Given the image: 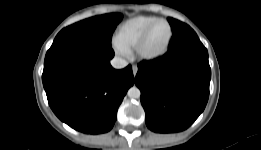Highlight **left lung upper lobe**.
Listing matches in <instances>:
<instances>
[{"label":"left lung upper lobe","mask_w":261,"mask_h":150,"mask_svg":"<svg viewBox=\"0 0 261 150\" xmlns=\"http://www.w3.org/2000/svg\"><path fill=\"white\" fill-rule=\"evenodd\" d=\"M168 21L172 27V31L173 33L181 30L182 28L186 27L187 25L185 23H182L176 19H173V18H168Z\"/></svg>","instance_id":"left-lung-upper-lobe-1"}]
</instances>
